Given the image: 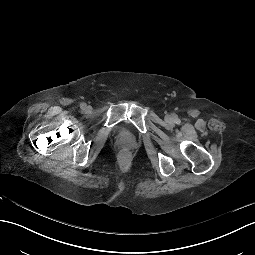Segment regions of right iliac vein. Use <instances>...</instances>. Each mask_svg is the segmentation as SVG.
<instances>
[{"label": "right iliac vein", "mask_w": 255, "mask_h": 255, "mask_svg": "<svg viewBox=\"0 0 255 255\" xmlns=\"http://www.w3.org/2000/svg\"><path fill=\"white\" fill-rule=\"evenodd\" d=\"M84 110H85V112H87V113H88V112H90V111H91V107H90V106H86Z\"/></svg>", "instance_id": "63e3f726"}]
</instances>
